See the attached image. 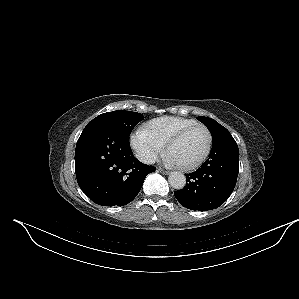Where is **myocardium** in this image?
Listing matches in <instances>:
<instances>
[{
    "mask_svg": "<svg viewBox=\"0 0 299 299\" xmlns=\"http://www.w3.org/2000/svg\"><path fill=\"white\" fill-rule=\"evenodd\" d=\"M197 127H201L206 131L207 136H208L207 146H206V149H205V152L203 153V155L196 162L189 164V165H181L180 166V168L185 171L197 169L207 160V158L211 152L212 143H213V136H212L210 129L203 123L195 122V123L183 128L179 132H177L166 143V150L169 152V150L171 149V147L173 145H175L176 143L181 141L185 137V135H187L192 129L197 128Z\"/></svg>",
    "mask_w": 299,
    "mask_h": 299,
    "instance_id": "1",
    "label": "myocardium"
}]
</instances>
